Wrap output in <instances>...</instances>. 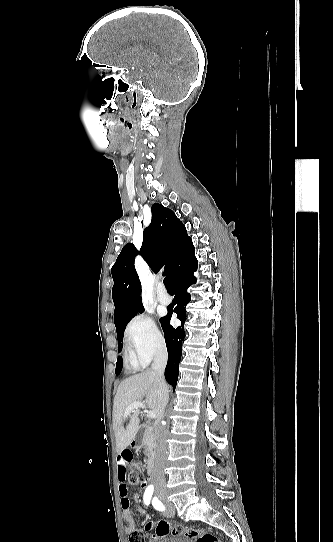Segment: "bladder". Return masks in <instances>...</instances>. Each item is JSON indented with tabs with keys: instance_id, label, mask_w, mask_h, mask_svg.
<instances>
[{
	"instance_id": "obj_1",
	"label": "bladder",
	"mask_w": 333,
	"mask_h": 542,
	"mask_svg": "<svg viewBox=\"0 0 333 542\" xmlns=\"http://www.w3.org/2000/svg\"><path fill=\"white\" fill-rule=\"evenodd\" d=\"M162 542H196V541L192 538H187L182 535H169L165 539H163Z\"/></svg>"
}]
</instances>
